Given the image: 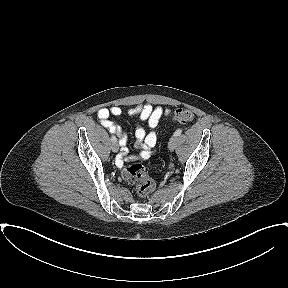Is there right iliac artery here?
<instances>
[{
	"label": "right iliac artery",
	"instance_id": "right-iliac-artery-1",
	"mask_svg": "<svg viewBox=\"0 0 288 288\" xmlns=\"http://www.w3.org/2000/svg\"><path fill=\"white\" fill-rule=\"evenodd\" d=\"M116 140H117V139H116L115 136H112V137H111V141H112V142H114V141H116Z\"/></svg>",
	"mask_w": 288,
	"mask_h": 288
}]
</instances>
